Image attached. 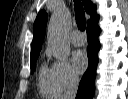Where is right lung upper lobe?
<instances>
[{"instance_id": "right-lung-upper-lobe-1", "label": "right lung upper lobe", "mask_w": 128, "mask_h": 99, "mask_svg": "<svg viewBox=\"0 0 128 99\" xmlns=\"http://www.w3.org/2000/svg\"><path fill=\"white\" fill-rule=\"evenodd\" d=\"M83 4L85 7V11L91 16L90 19L94 18L97 15L96 5H94L90 0H83ZM47 19H48V15L44 10H41L36 17V20L34 22V27H33L31 57L37 56L40 53L41 45L43 43L44 36H45Z\"/></svg>"}]
</instances>
